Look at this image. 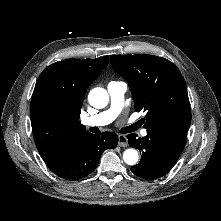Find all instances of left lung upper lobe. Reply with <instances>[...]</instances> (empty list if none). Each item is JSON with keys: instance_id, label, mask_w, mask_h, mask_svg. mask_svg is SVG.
Returning a JSON list of instances; mask_svg holds the SVG:
<instances>
[{"instance_id": "1", "label": "left lung upper lobe", "mask_w": 221, "mask_h": 221, "mask_svg": "<svg viewBox=\"0 0 221 221\" xmlns=\"http://www.w3.org/2000/svg\"><path fill=\"white\" fill-rule=\"evenodd\" d=\"M113 68L131 90L134 108L147 112L144 128L188 132L190 103L184 78L169 60L147 54L111 56Z\"/></svg>"}]
</instances>
